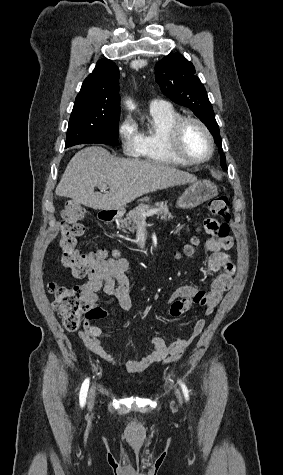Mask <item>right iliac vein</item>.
Returning <instances> with one entry per match:
<instances>
[{"label":"right iliac vein","mask_w":283,"mask_h":475,"mask_svg":"<svg viewBox=\"0 0 283 475\" xmlns=\"http://www.w3.org/2000/svg\"><path fill=\"white\" fill-rule=\"evenodd\" d=\"M95 396H96L95 389L92 388L90 393H89V398H88V404H89L90 407L93 406Z\"/></svg>","instance_id":"1"}]
</instances>
